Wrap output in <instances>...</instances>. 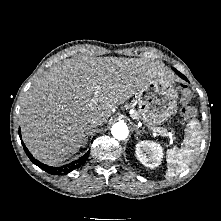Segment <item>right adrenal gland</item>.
<instances>
[{
	"mask_svg": "<svg viewBox=\"0 0 221 221\" xmlns=\"http://www.w3.org/2000/svg\"><path fill=\"white\" fill-rule=\"evenodd\" d=\"M88 137L84 138V145L87 143Z\"/></svg>",
	"mask_w": 221,
	"mask_h": 221,
	"instance_id": "right-adrenal-gland-1",
	"label": "right adrenal gland"
}]
</instances>
